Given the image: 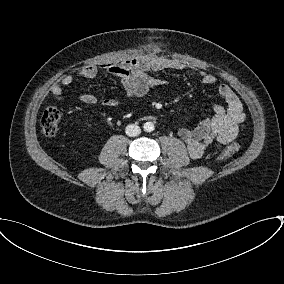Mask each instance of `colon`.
Instances as JSON below:
<instances>
[{
  "instance_id": "obj_1",
  "label": "colon",
  "mask_w": 284,
  "mask_h": 284,
  "mask_svg": "<svg viewBox=\"0 0 284 284\" xmlns=\"http://www.w3.org/2000/svg\"><path fill=\"white\" fill-rule=\"evenodd\" d=\"M61 114L56 107H48L46 108L40 118V126L42 132L48 136L52 137L56 135L59 129ZM237 143L230 144L220 155V159L224 160L230 157L237 149Z\"/></svg>"
}]
</instances>
